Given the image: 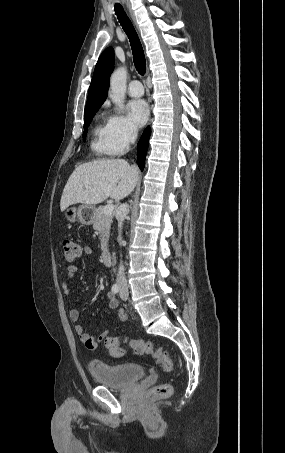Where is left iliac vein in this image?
<instances>
[{
  "instance_id": "4c4485c4",
  "label": "left iliac vein",
  "mask_w": 285,
  "mask_h": 453,
  "mask_svg": "<svg viewBox=\"0 0 285 453\" xmlns=\"http://www.w3.org/2000/svg\"><path fill=\"white\" fill-rule=\"evenodd\" d=\"M119 295H120L122 300H124V301L127 300V298H128V287H127L126 284H122L121 285Z\"/></svg>"
}]
</instances>
